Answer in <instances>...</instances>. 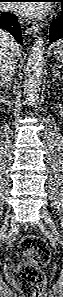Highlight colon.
I'll return each mask as SVG.
<instances>
[{
    "instance_id": "5ec220e1",
    "label": "colon",
    "mask_w": 63,
    "mask_h": 297,
    "mask_svg": "<svg viewBox=\"0 0 63 297\" xmlns=\"http://www.w3.org/2000/svg\"><path fill=\"white\" fill-rule=\"evenodd\" d=\"M19 249L26 259V266L17 274L16 287L31 297H39L45 285L41 268L49 261V248L41 238L26 236L20 241Z\"/></svg>"
}]
</instances>
